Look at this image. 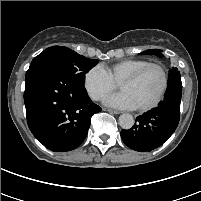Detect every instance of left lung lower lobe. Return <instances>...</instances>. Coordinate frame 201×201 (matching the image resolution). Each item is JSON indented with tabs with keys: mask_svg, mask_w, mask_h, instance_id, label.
Segmentation results:
<instances>
[{
	"mask_svg": "<svg viewBox=\"0 0 201 201\" xmlns=\"http://www.w3.org/2000/svg\"><path fill=\"white\" fill-rule=\"evenodd\" d=\"M181 95V78L173 76L168 79L165 98L158 107L138 116L131 129L121 131L125 145L135 151L145 152L166 142L179 123Z\"/></svg>",
	"mask_w": 201,
	"mask_h": 201,
	"instance_id": "1",
	"label": "left lung lower lobe"
}]
</instances>
